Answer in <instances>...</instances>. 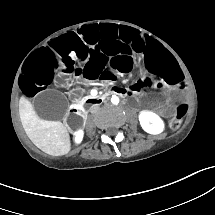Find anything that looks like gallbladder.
Wrapping results in <instances>:
<instances>
[{"label": "gallbladder", "instance_id": "bac80fb5", "mask_svg": "<svg viewBox=\"0 0 215 215\" xmlns=\"http://www.w3.org/2000/svg\"><path fill=\"white\" fill-rule=\"evenodd\" d=\"M33 103L37 114L49 121L61 119L67 107L65 97L56 89L37 93L33 99Z\"/></svg>", "mask_w": 215, "mask_h": 215}]
</instances>
